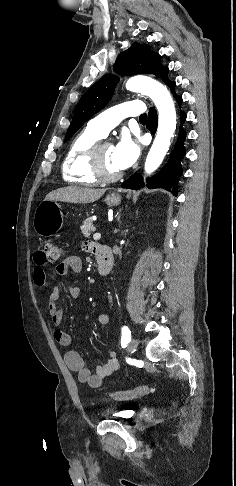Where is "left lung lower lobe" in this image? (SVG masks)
<instances>
[{"label":"left lung lower lobe","instance_id":"obj_1","mask_svg":"<svg viewBox=\"0 0 236 486\" xmlns=\"http://www.w3.org/2000/svg\"><path fill=\"white\" fill-rule=\"evenodd\" d=\"M166 85H168L174 94L175 99L177 100L179 106L182 103L181 96H177L174 93V88L176 83L171 80L165 81ZM186 120V114L180 112V122L181 126L179 129L178 139L175 144V147L170 155L168 162L164 165V167L157 173L154 177L147 180V187L150 189L153 188H164L168 191H171L175 196L177 195V183L179 181V176L182 174V167H181V159L185 155V149L183 143L185 141L186 133L182 128L183 122ZM147 128L150 130L151 133H155L157 128V113L154 108H150L148 114V123ZM144 186V182L140 174L135 173L130 178H128L123 184L122 187L129 188V189H140Z\"/></svg>","mask_w":236,"mask_h":486}]
</instances>
